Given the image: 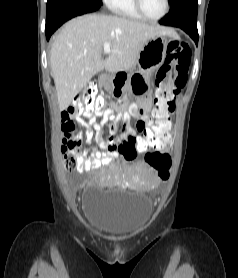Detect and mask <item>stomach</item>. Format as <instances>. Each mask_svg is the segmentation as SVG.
<instances>
[{
  "mask_svg": "<svg viewBox=\"0 0 238 278\" xmlns=\"http://www.w3.org/2000/svg\"><path fill=\"white\" fill-rule=\"evenodd\" d=\"M171 37L156 35L150 38L138 56L137 67L102 74L99 77L100 85L113 93V99H124V95H127L125 89L134 94L149 93L151 74L163 64Z\"/></svg>",
  "mask_w": 238,
  "mask_h": 278,
  "instance_id": "obj_1",
  "label": "stomach"
}]
</instances>
